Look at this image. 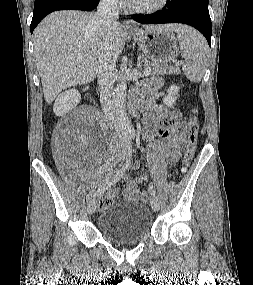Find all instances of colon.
<instances>
[{
  "instance_id": "1",
  "label": "colon",
  "mask_w": 253,
  "mask_h": 285,
  "mask_svg": "<svg viewBox=\"0 0 253 285\" xmlns=\"http://www.w3.org/2000/svg\"><path fill=\"white\" fill-rule=\"evenodd\" d=\"M198 132H199V121L195 115H192L187 122V144L184 153L182 163L178 169V174L183 175L186 173L197 148L198 141ZM112 200L109 196H103L100 198L99 204L101 207H107L112 203ZM140 200L142 202L148 201V193L146 191L141 192Z\"/></svg>"
}]
</instances>
